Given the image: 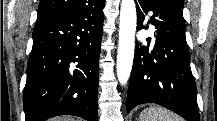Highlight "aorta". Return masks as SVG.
Instances as JSON below:
<instances>
[{"instance_id": "1", "label": "aorta", "mask_w": 217, "mask_h": 121, "mask_svg": "<svg viewBox=\"0 0 217 121\" xmlns=\"http://www.w3.org/2000/svg\"><path fill=\"white\" fill-rule=\"evenodd\" d=\"M136 24L137 16L134 0H122L117 54V77L121 85L127 83L132 70Z\"/></svg>"}]
</instances>
